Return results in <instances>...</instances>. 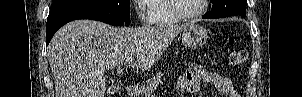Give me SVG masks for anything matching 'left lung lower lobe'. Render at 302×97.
Returning <instances> with one entry per match:
<instances>
[{
    "mask_svg": "<svg viewBox=\"0 0 302 97\" xmlns=\"http://www.w3.org/2000/svg\"><path fill=\"white\" fill-rule=\"evenodd\" d=\"M203 18H217V17L214 16L213 14H211V12H209V13L205 14V15L203 16Z\"/></svg>",
    "mask_w": 302,
    "mask_h": 97,
    "instance_id": "obj_1",
    "label": "left lung lower lobe"
}]
</instances>
